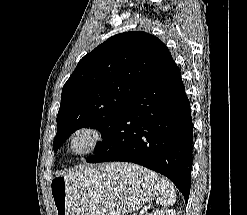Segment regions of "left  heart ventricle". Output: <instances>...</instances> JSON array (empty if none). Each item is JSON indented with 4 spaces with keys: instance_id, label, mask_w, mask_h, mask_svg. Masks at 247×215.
Instances as JSON below:
<instances>
[{
    "instance_id": "1",
    "label": "left heart ventricle",
    "mask_w": 247,
    "mask_h": 215,
    "mask_svg": "<svg viewBox=\"0 0 247 215\" xmlns=\"http://www.w3.org/2000/svg\"><path fill=\"white\" fill-rule=\"evenodd\" d=\"M85 142H86V139L85 138H80L76 142V148L79 149V148L83 147V145L85 144Z\"/></svg>"
}]
</instances>
